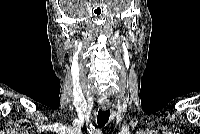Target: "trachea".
Returning a JSON list of instances; mask_svg holds the SVG:
<instances>
[{
	"label": "trachea",
	"mask_w": 200,
	"mask_h": 134,
	"mask_svg": "<svg viewBox=\"0 0 200 134\" xmlns=\"http://www.w3.org/2000/svg\"><path fill=\"white\" fill-rule=\"evenodd\" d=\"M109 120V110H99L97 116V123L100 127L105 126Z\"/></svg>",
	"instance_id": "1"
}]
</instances>
